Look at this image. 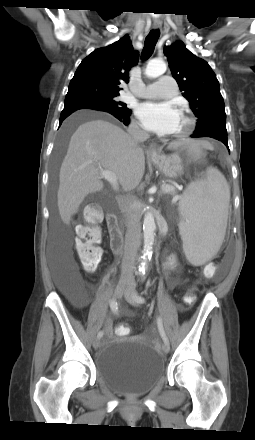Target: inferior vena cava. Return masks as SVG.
<instances>
[{
  "mask_svg": "<svg viewBox=\"0 0 255 440\" xmlns=\"http://www.w3.org/2000/svg\"><path fill=\"white\" fill-rule=\"evenodd\" d=\"M128 133L132 137L134 143L137 145L145 141L149 135L147 132L141 130L136 123H132L128 128ZM125 221L126 234L124 256L121 266V280H132L134 263L140 247L141 225L140 213L137 209V201L130 199L125 205Z\"/></svg>",
  "mask_w": 255,
  "mask_h": 440,
  "instance_id": "obj_1",
  "label": "inferior vena cava"
}]
</instances>
